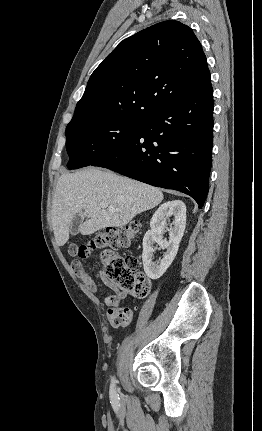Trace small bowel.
<instances>
[{"label":"small bowel","mask_w":262,"mask_h":431,"mask_svg":"<svg viewBox=\"0 0 262 431\" xmlns=\"http://www.w3.org/2000/svg\"><path fill=\"white\" fill-rule=\"evenodd\" d=\"M78 276L89 290H98L96 280L91 275H89L86 270L78 273ZM110 289L111 293L104 297V304L108 307L109 318L113 313L117 312L118 310L127 309L121 308V304L126 297V293L113 287H111ZM128 310L131 313L130 309Z\"/></svg>","instance_id":"1"}]
</instances>
